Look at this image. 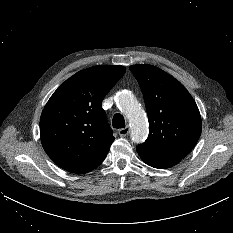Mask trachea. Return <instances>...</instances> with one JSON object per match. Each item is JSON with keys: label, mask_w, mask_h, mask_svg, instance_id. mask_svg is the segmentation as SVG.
I'll return each mask as SVG.
<instances>
[{"label": "trachea", "mask_w": 233, "mask_h": 233, "mask_svg": "<svg viewBox=\"0 0 233 233\" xmlns=\"http://www.w3.org/2000/svg\"><path fill=\"white\" fill-rule=\"evenodd\" d=\"M112 125L116 129L124 128L125 127L124 117L119 113L115 114L113 121H112Z\"/></svg>", "instance_id": "3493384b"}]
</instances>
